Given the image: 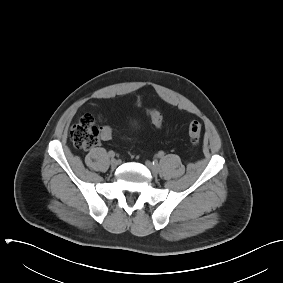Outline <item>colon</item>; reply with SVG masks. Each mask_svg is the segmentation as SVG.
I'll return each mask as SVG.
<instances>
[{"label": "colon", "mask_w": 283, "mask_h": 283, "mask_svg": "<svg viewBox=\"0 0 283 283\" xmlns=\"http://www.w3.org/2000/svg\"><path fill=\"white\" fill-rule=\"evenodd\" d=\"M147 116L155 127L161 128L163 125V118L160 112L155 109L146 111ZM202 127L200 122L192 121L188 125V136L192 145L196 146L201 140ZM70 140L78 149H90L97 145L100 139L104 141H111L115 138L113 129L105 125L101 128L96 127L93 117L85 113L77 123L70 128Z\"/></svg>", "instance_id": "1"}]
</instances>
